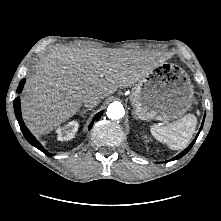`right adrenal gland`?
<instances>
[{
    "mask_svg": "<svg viewBox=\"0 0 221 221\" xmlns=\"http://www.w3.org/2000/svg\"><path fill=\"white\" fill-rule=\"evenodd\" d=\"M89 110L91 109H82L79 111V115L83 117Z\"/></svg>",
    "mask_w": 221,
    "mask_h": 221,
    "instance_id": "2a0ac1e0",
    "label": "right adrenal gland"
}]
</instances>
